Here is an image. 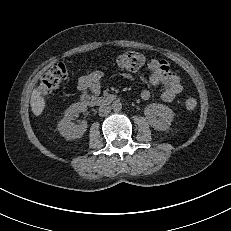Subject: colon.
<instances>
[{
  "label": "colon",
  "mask_w": 231,
  "mask_h": 231,
  "mask_svg": "<svg viewBox=\"0 0 231 231\" xmlns=\"http://www.w3.org/2000/svg\"><path fill=\"white\" fill-rule=\"evenodd\" d=\"M145 63V58L142 54L128 51L119 54L114 58V64L126 71H137ZM70 70L63 64L59 63L49 69L42 77L39 91L43 95L51 94L69 77ZM184 107L188 112H193L197 108V100L194 97H188L184 101Z\"/></svg>",
  "instance_id": "1"
}]
</instances>
